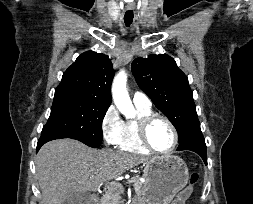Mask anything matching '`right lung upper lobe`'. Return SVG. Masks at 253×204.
<instances>
[{
    "mask_svg": "<svg viewBox=\"0 0 253 204\" xmlns=\"http://www.w3.org/2000/svg\"><path fill=\"white\" fill-rule=\"evenodd\" d=\"M114 70L105 54L88 51L81 54L63 73L56 90L77 92L94 101L110 105Z\"/></svg>",
    "mask_w": 253,
    "mask_h": 204,
    "instance_id": "1",
    "label": "right lung upper lobe"
}]
</instances>
